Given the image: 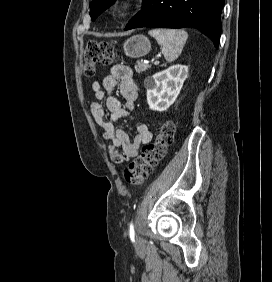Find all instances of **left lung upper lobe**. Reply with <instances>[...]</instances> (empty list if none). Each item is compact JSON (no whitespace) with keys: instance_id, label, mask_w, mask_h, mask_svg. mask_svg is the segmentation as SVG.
Listing matches in <instances>:
<instances>
[{"instance_id":"obj_1","label":"left lung upper lobe","mask_w":272,"mask_h":282,"mask_svg":"<svg viewBox=\"0 0 272 282\" xmlns=\"http://www.w3.org/2000/svg\"><path fill=\"white\" fill-rule=\"evenodd\" d=\"M115 1L116 0H93L90 3V16L92 20L94 21L100 13L110 8Z\"/></svg>"}]
</instances>
